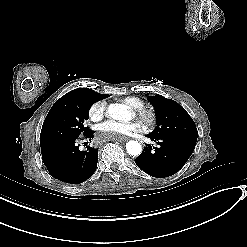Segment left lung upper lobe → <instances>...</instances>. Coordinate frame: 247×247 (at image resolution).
<instances>
[{"label": "left lung upper lobe", "mask_w": 247, "mask_h": 247, "mask_svg": "<svg viewBox=\"0 0 247 247\" xmlns=\"http://www.w3.org/2000/svg\"><path fill=\"white\" fill-rule=\"evenodd\" d=\"M148 100L156 112V128L148 136L197 141V128L190 115L177 102L159 94Z\"/></svg>", "instance_id": "obj_1"}]
</instances>
